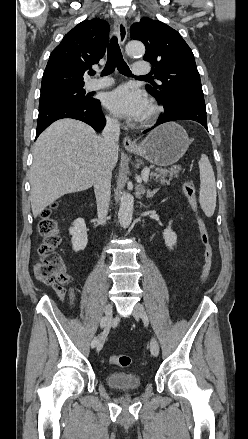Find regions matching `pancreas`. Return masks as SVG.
<instances>
[{"mask_svg": "<svg viewBox=\"0 0 248 439\" xmlns=\"http://www.w3.org/2000/svg\"><path fill=\"white\" fill-rule=\"evenodd\" d=\"M180 170L181 167L179 165L173 166L169 169L156 168L155 171L151 173V177L155 178V180L162 185H168L173 177H177ZM167 176L170 177L169 180H166Z\"/></svg>", "mask_w": 248, "mask_h": 439, "instance_id": "cf45deb5", "label": "pancreas"}]
</instances>
